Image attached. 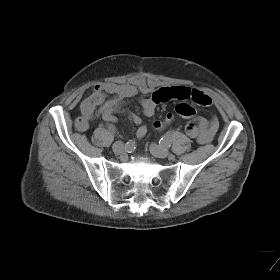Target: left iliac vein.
<instances>
[{
	"label": "left iliac vein",
	"mask_w": 280,
	"mask_h": 280,
	"mask_svg": "<svg viewBox=\"0 0 280 280\" xmlns=\"http://www.w3.org/2000/svg\"><path fill=\"white\" fill-rule=\"evenodd\" d=\"M150 151L155 157L158 158H166L170 154L166 147L154 143L150 145Z\"/></svg>",
	"instance_id": "left-iliac-vein-1"
}]
</instances>
